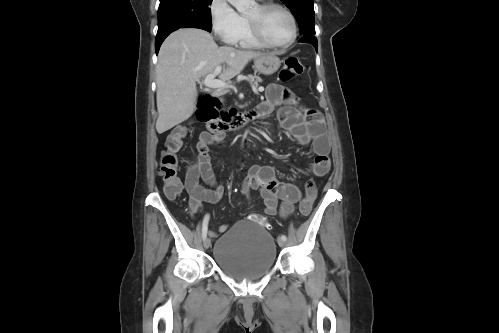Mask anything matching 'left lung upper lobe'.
I'll return each mask as SVG.
<instances>
[{"instance_id": "1", "label": "left lung upper lobe", "mask_w": 499, "mask_h": 333, "mask_svg": "<svg viewBox=\"0 0 499 333\" xmlns=\"http://www.w3.org/2000/svg\"><path fill=\"white\" fill-rule=\"evenodd\" d=\"M294 14L301 34L314 36L315 13L313 0H281Z\"/></svg>"}]
</instances>
